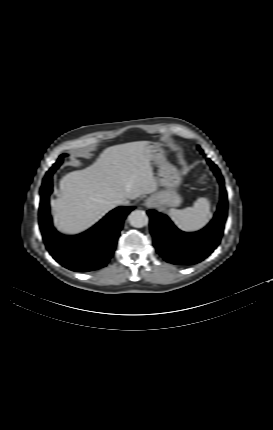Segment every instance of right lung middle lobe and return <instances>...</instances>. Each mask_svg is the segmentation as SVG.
Listing matches in <instances>:
<instances>
[{
  "instance_id": "dd1d6c3e",
  "label": "right lung middle lobe",
  "mask_w": 273,
  "mask_h": 430,
  "mask_svg": "<svg viewBox=\"0 0 273 430\" xmlns=\"http://www.w3.org/2000/svg\"><path fill=\"white\" fill-rule=\"evenodd\" d=\"M67 156V154H62L59 158H58V161L53 165V167L50 169L52 172L53 171H55L59 166H60V164L62 163V161H63V159H64V157H66Z\"/></svg>"
}]
</instances>
